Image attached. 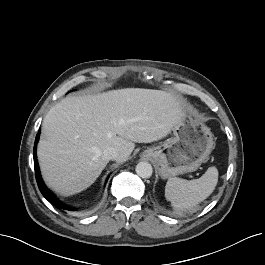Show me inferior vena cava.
<instances>
[{
  "label": "inferior vena cava",
  "mask_w": 265,
  "mask_h": 265,
  "mask_svg": "<svg viewBox=\"0 0 265 265\" xmlns=\"http://www.w3.org/2000/svg\"><path fill=\"white\" fill-rule=\"evenodd\" d=\"M103 155L107 160H116L119 156L117 150L113 147L104 150Z\"/></svg>",
  "instance_id": "inferior-vena-cava-1"
}]
</instances>
